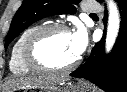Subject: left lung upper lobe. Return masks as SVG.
Segmentation results:
<instances>
[{"label": "left lung upper lobe", "mask_w": 127, "mask_h": 92, "mask_svg": "<svg viewBox=\"0 0 127 92\" xmlns=\"http://www.w3.org/2000/svg\"><path fill=\"white\" fill-rule=\"evenodd\" d=\"M80 0H23L16 12L6 37L5 49L24 29L34 22L55 14H73L76 9L73 4ZM99 3L102 0H97Z\"/></svg>", "instance_id": "1"}]
</instances>
